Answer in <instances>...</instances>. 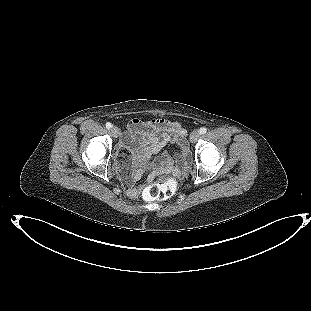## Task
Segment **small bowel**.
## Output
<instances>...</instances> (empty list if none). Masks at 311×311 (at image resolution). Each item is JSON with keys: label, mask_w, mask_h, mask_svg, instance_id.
Segmentation results:
<instances>
[{"label": "small bowel", "mask_w": 311, "mask_h": 311, "mask_svg": "<svg viewBox=\"0 0 311 311\" xmlns=\"http://www.w3.org/2000/svg\"><path fill=\"white\" fill-rule=\"evenodd\" d=\"M168 143L177 145L181 154L177 155L175 162L169 156H163L155 162L154 168H165L167 171L180 178L183 176L187 161L190 158L188 147L185 141V131L178 122L169 121L163 118L143 122L134 119L128 123L127 131L120 141V172L129 181L128 192L132 195L137 189L131 183V179H139L147 170L148 160ZM141 149L137 159H133L131 168L126 167L132 159V153Z\"/></svg>", "instance_id": "1"}]
</instances>
